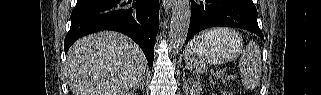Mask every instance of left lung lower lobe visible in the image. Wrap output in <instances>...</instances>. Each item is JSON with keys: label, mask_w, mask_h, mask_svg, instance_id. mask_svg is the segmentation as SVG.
Segmentation results:
<instances>
[{"label": "left lung lower lobe", "mask_w": 321, "mask_h": 95, "mask_svg": "<svg viewBox=\"0 0 321 95\" xmlns=\"http://www.w3.org/2000/svg\"><path fill=\"white\" fill-rule=\"evenodd\" d=\"M257 17L252 0H191V20L185 42L201 30L216 26L245 29L264 40Z\"/></svg>", "instance_id": "0a47b994"}]
</instances>
